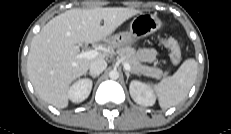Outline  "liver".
I'll return each instance as SVG.
<instances>
[{
  "label": "liver",
  "instance_id": "1",
  "mask_svg": "<svg viewBox=\"0 0 231 134\" xmlns=\"http://www.w3.org/2000/svg\"><path fill=\"white\" fill-rule=\"evenodd\" d=\"M138 13L123 7L75 8L52 18L33 37L27 59V73L38 96L56 108L67 107L70 84L85 75L93 61L107 56L79 58L76 44L109 43L110 35Z\"/></svg>",
  "mask_w": 231,
  "mask_h": 134
}]
</instances>
